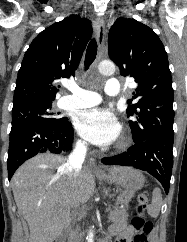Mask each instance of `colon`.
<instances>
[{
	"label": "colon",
	"mask_w": 187,
	"mask_h": 242,
	"mask_svg": "<svg viewBox=\"0 0 187 242\" xmlns=\"http://www.w3.org/2000/svg\"><path fill=\"white\" fill-rule=\"evenodd\" d=\"M148 205V197L141 193L137 197V205L135 208L134 217L132 219V226L136 233L131 242H149L154 224L147 219L146 209Z\"/></svg>",
	"instance_id": "obj_1"
}]
</instances>
